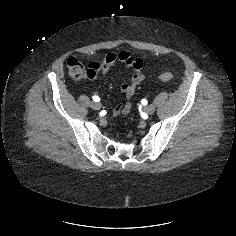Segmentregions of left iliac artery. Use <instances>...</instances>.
<instances>
[{"label":"left iliac artery","instance_id":"left-iliac-artery-1","mask_svg":"<svg viewBox=\"0 0 236 236\" xmlns=\"http://www.w3.org/2000/svg\"><path fill=\"white\" fill-rule=\"evenodd\" d=\"M142 103L145 105L147 103V101L145 99H143Z\"/></svg>","mask_w":236,"mask_h":236}]
</instances>
